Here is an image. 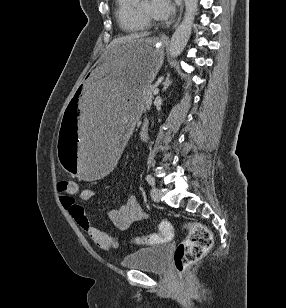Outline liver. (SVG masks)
<instances>
[{"label":"liver","instance_id":"1","mask_svg":"<svg viewBox=\"0 0 286 308\" xmlns=\"http://www.w3.org/2000/svg\"><path fill=\"white\" fill-rule=\"evenodd\" d=\"M147 36H149V33H135V34H130V35L116 38L107 46L105 53L110 51L116 45L129 42V41H133V40H137V39H143L144 37H147Z\"/></svg>","mask_w":286,"mask_h":308}]
</instances>
